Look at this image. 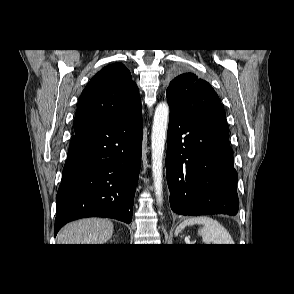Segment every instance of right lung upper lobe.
Listing matches in <instances>:
<instances>
[{
  "mask_svg": "<svg viewBox=\"0 0 294 294\" xmlns=\"http://www.w3.org/2000/svg\"><path fill=\"white\" fill-rule=\"evenodd\" d=\"M141 103L130 71L113 63L99 71L83 90L75 114L74 130L112 121Z\"/></svg>",
  "mask_w": 294,
  "mask_h": 294,
  "instance_id": "obj_1",
  "label": "right lung upper lobe"
}]
</instances>
